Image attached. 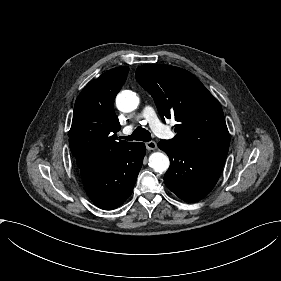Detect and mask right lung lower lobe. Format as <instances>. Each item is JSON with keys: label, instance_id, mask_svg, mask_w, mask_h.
<instances>
[{"label": "right lung lower lobe", "instance_id": "1", "mask_svg": "<svg viewBox=\"0 0 281 281\" xmlns=\"http://www.w3.org/2000/svg\"><path fill=\"white\" fill-rule=\"evenodd\" d=\"M145 151L142 142H132L114 162L80 174L87 195L97 207L113 210L125 202L133 191Z\"/></svg>", "mask_w": 281, "mask_h": 281}]
</instances>
